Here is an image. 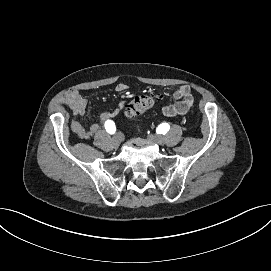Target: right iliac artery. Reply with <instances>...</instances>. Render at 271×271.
<instances>
[{
    "instance_id": "right-iliac-artery-1",
    "label": "right iliac artery",
    "mask_w": 271,
    "mask_h": 271,
    "mask_svg": "<svg viewBox=\"0 0 271 271\" xmlns=\"http://www.w3.org/2000/svg\"><path fill=\"white\" fill-rule=\"evenodd\" d=\"M105 129L109 134H114L116 131L115 123L112 120H107L105 122Z\"/></svg>"
}]
</instances>
